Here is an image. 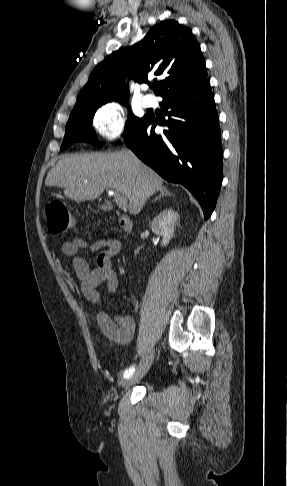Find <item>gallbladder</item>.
I'll return each mask as SVG.
<instances>
[{"label":"gallbladder","mask_w":287,"mask_h":486,"mask_svg":"<svg viewBox=\"0 0 287 486\" xmlns=\"http://www.w3.org/2000/svg\"><path fill=\"white\" fill-rule=\"evenodd\" d=\"M101 209L103 210H110L111 206L108 203H105L104 205L100 206Z\"/></svg>","instance_id":"gallbladder-1"}]
</instances>
